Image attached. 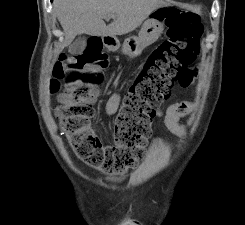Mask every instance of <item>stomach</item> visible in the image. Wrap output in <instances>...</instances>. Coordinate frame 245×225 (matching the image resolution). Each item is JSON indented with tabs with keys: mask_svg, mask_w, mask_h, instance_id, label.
<instances>
[{
	"mask_svg": "<svg viewBox=\"0 0 245 225\" xmlns=\"http://www.w3.org/2000/svg\"><path fill=\"white\" fill-rule=\"evenodd\" d=\"M165 7H160L154 10L143 23L138 36H130L125 39L121 52L130 58L139 56L142 51L158 40L164 30V25L160 20V16L163 13ZM120 43L115 39V43L111 46L112 50H118Z\"/></svg>",
	"mask_w": 245,
	"mask_h": 225,
	"instance_id": "1",
	"label": "stomach"
}]
</instances>
